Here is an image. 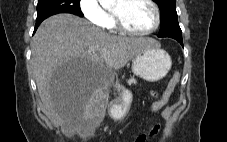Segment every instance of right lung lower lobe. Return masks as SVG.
<instances>
[{"label": "right lung lower lobe", "mask_w": 227, "mask_h": 142, "mask_svg": "<svg viewBox=\"0 0 227 142\" xmlns=\"http://www.w3.org/2000/svg\"><path fill=\"white\" fill-rule=\"evenodd\" d=\"M42 21H43V20H36V25H35L34 32L36 31L37 27L39 26V24H40Z\"/></svg>", "instance_id": "obj_1"}]
</instances>
